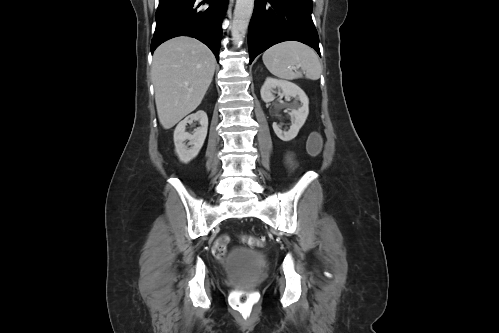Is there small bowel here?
I'll list each match as a JSON object with an SVG mask.
<instances>
[{
  "label": "small bowel",
  "instance_id": "1",
  "mask_svg": "<svg viewBox=\"0 0 499 333\" xmlns=\"http://www.w3.org/2000/svg\"><path fill=\"white\" fill-rule=\"evenodd\" d=\"M286 161H287V164L290 166V167H293L294 166V161H293V157L291 154H288L287 157H286Z\"/></svg>",
  "mask_w": 499,
  "mask_h": 333
}]
</instances>
